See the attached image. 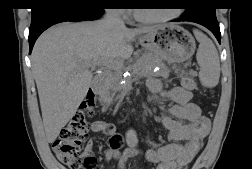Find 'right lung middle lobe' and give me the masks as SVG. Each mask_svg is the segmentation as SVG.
Returning a JSON list of instances; mask_svg holds the SVG:
<instances>
[{"instance_id": "dd1d6c3e", "label": "right lung middle lobe", "mask_w": 252, "mask_h": 169, "mask_svg": "<svg viewBox=\"0 0 252 169\" xmlns=\"http://www.w3.org/2000/svg\"><path fill=\"white\" fill-rule=\"evenodd\" d=\"M106 0H82V2L88 3V4H94V5H103ZM44 0H37L36 4H43Z\"/></svg>"}]
</instances>
